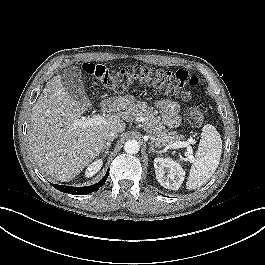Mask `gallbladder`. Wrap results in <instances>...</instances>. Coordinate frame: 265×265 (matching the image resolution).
<instances>
[{
    "mask_svg": "<svg viewBox=\"0 0 265 265\" xmlns=\"http://www.w3.org/2000/svg\"><path fill=\"white\" fill-rule=\"evenodd\" d=\"M81 73V69L78 67L68 68L62 76V84L71 97L84 103L89 99L81 79Z\"/></svg>",
    "mask_w": 265,
    "mask_h": 265,
    "instance_id": "obj_1",
    "label": "gallbladder"
}]
</instances>
